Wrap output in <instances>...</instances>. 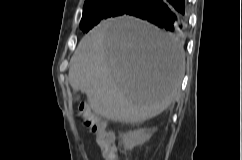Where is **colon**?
Listing matches in <instances>:
<instances>
[{"label": "colon", "mask_w": 242, "mask_h": 160, "mask_svg": "<svg viewBox=\"0 0 242 160\" xmlns=\"http://www.w3.org/2000/svg\"><path fill=\"white\" fill-rule=\"evenodd\" d=\"M79 116L83 124L94 135L95 143L100 149L103 158L105 160H115L114 136L107 130L105 122L83 103L79 105Z\"/></svg>", "instance_id": "colon-1"}]
</instances>
